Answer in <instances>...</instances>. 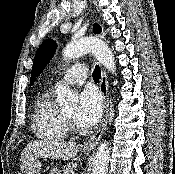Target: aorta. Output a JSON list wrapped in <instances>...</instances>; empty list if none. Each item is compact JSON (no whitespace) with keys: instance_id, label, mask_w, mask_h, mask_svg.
Wrapping results in <instances>:
<instances>
[{"instance_id":"762f6f07","label":"aorta","mask_w":175,"mask_h":174,"mask_svg":"<svg viewBox=\"0 0 175 174\" xmlns=\"http://www.w3.org/2000/svg\"><path fill=\"white\" fill-rule=\"evenodd\" d=\"M89 52L93 53L97 61L106 69L112 73L115 72L116 62L111 49L105 42L95 37H85L69 43L63 50V58L64 60H70ZM56 94V101L61 106H74L77 102V97L65 85H59ZM109 154L108 142H102L95 154L91 174H107Z\"/></svg>"}]
</instances>
